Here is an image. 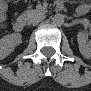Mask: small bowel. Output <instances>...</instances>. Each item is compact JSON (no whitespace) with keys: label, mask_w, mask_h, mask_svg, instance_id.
I'll return each mask as SVG.
<instances>
[{"label":"small bowel","mask_w":91,"mask_h":91,"mask_svg":"<svg viewBox=\"0 0 91 91\" xmlns=\"http://www.w3.org/2000/svg\"><path fill=\"white\" fill-rule=\"evenodd\" d=\"M4 19H5V17L2 15V16H1V20L4 21Z\"/></svg>","instance_id":"small-bowel-1"}]
</instances>
